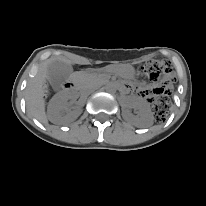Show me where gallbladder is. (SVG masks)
I'll use <instances>...</instances> for the list:
<instances>
[{"mask_svg":"<svg viewBox=\"0 0 206 206\" xmlns=\"http://www.w3.org/2000/svg\"><path fill=\"white\" fill-rule=\"evenodd\" d=\"M70 64L55 61L48 66V79L53 88H59L72 74Z\"/></svg>","mask_w":206,"mask_h":206,"instance_id":"gallbladder-1","label":"gallbladder"}]
</instances>
